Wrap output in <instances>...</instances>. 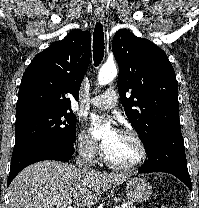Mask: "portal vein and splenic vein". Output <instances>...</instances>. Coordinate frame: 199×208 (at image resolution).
<instances>
[{
  "instance_id": "18ae733b",
  "label": "portal vein and splenic vein",
  "mask_w": 199,
  "mask_h": 208,
  "mask_svg": "<svg viewBox=\"0 0 199 208\" xmlns=\"http://www.w3.org/2000/svg\"><path fill=\"white\" fill-rule=\"evenodd\" d=\"M71 200H69V202H67L66 204L65 203H58V206L60 208H76V207H73L71 205H68V204H71ZM125 207V206H124ZM115 208H121L120 206H115Z\"/></svg>"
}]
</instances>
